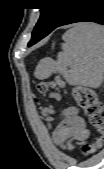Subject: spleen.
I'll use <instances>...</instances> for the list:
<instances>
[{"label":"spleen","instance_id":"spleen-1","mask_svg":"<svg viewBox=\"0 0 104 169\" xmlns=\"http://www.w3.org/2000/svg\"><path fill=\"white\" fill-rule=\"evenodd\" d=\"M63 40L57 61L42 59L36 77L46 79L60 73L70 85L100 87L104 75V28L93 23L78 24L63 35Z\"/></svg>","mask_w":104,"mask_h":169}]
</instances>
